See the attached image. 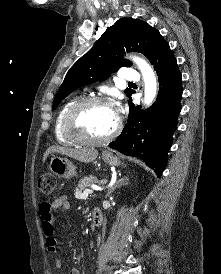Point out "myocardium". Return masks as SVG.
I'll list each match as a JSON object with an SVG mask.
<instances>
[{"label": "myocardium", "instance_id": "f54148a6", "mask_svg": "<svg viewBox=\"0 0 221 274\" xmlns=\"http://www.w3.org/2000/svg\"><path fill=\"white\" fill-rule=\"evenodd\" d=\"M108 105L113 107V102L101 96H93L88 98H82L75 102L66 112L64 118V130L65 133L77 143L83 144H104L112 140L120 131L121 119L117 115L116 122L109 134L103 137H91L87 135L81 127L80 119L82 114L91 106L94 105Z\"/></svg>", "mask_w": 221, "mask_h": 274}]
</instances>
